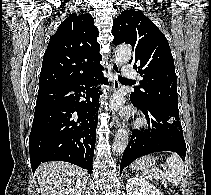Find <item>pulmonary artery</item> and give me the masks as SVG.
Segmentation results:
<instances>
[{
  "label": "pulmonary artery",
  "instance_id": "e3ab8cb5",
  "mask_svg": "<svg viewBox=\"0 0 211 195\" xmlns=\"http://www.w3.org/2000/svg\"><path fill=\"white\" fill-rule=\"evenodd\" d=\"M123 75L128 78H135L137 76V73L135 69L132 67V65L127 64L123 68Z\"/></svg>",
  "mask_w": 211,
  "mask_h": 195
}]
</instances>
